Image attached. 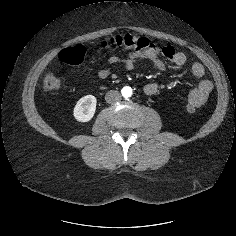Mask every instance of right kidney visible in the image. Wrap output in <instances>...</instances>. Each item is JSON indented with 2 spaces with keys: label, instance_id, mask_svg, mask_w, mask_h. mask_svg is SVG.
Returning a JSON list of instances; mask_svg holds the SVG:
<instances>
[{
  "label": "right kidney",
  "instance_id": "right-kidney-1",
  "mask_svg": "<svg viewBox=\"0 0 236 236\" xmlns=\"http://www.w3.org/2000/svg\"><path fill=\"white\" fill-rule=\"evenodd\" d=\"M97 100L93 95H86L82 97L74 107V117L79 122L90 121L96 110Z\"/></svg>",
  "mask_w": 236,
  "mask_h": 236
}]
</instances>
